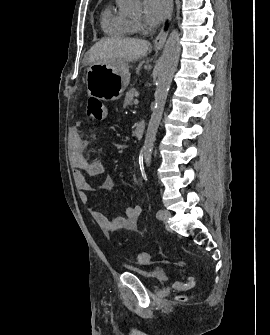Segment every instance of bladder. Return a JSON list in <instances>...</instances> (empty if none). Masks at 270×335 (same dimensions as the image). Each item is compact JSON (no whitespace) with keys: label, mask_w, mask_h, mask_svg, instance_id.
Instances as JSON below:
<instances>
[{"label":"bladder","mask_w":270,"mask_h":335,"mask_svg":"<svg viewBox=\"0 0 270 335\" xmlns=\"http://www.w3.org/2000/svg\"><path fill=\"white\" fill-rule=\"evenodd\" d=\"M133 274L139 278L148 280L152 285L159 284L161 280L166 279V270L155 268L150 272H143L141 270L133 269L131 270Z\"/></svg>","instance_id":"bladder-1"}]
</instances>
